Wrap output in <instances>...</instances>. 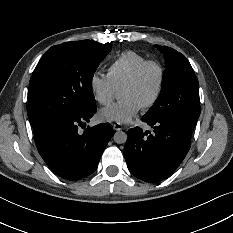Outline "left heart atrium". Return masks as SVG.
Returning <instances> with one entry per match:
<instances>
[{
    "label": "left heart atrium",
    "mask_w": 233,
    "mask_h": 233,
    "mask_svg": "<svg viewBox=\"0 0 233 233\" xmlns=\"http://www.w3.org/2000/svg\"><path fill=\"white\" fill-rule=\"evenodd\" d=\"M143 105L134 98L127 97L121 101L100 110L99 118L103 121L116 123H128L138 112Z\"/></svg>",
    "instance_id": "left-heart-atrium-1"
}]
</instances>
